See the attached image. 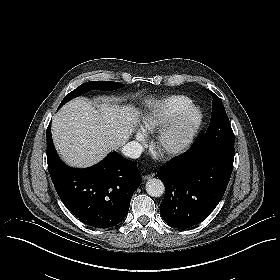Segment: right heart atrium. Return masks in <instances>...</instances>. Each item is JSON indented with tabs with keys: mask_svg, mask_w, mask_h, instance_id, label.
Segmentation results:
<instances>
[{
	"mask_svg": "<svg viewBox=\"0 0 280 280\" xmlns=\"http://www.w3.org/2000/svg\"><path fill=\"white\" fill-rule=\"evenodd\" d=\"M138 142H139L140 144H144V140H143V139L138 138Z\"/></svg>",
	"mask_w": 280,
	"mask_h": 280,
	"instance_id": "1",
	"label": "right heart atrium"
}]
</instances>
